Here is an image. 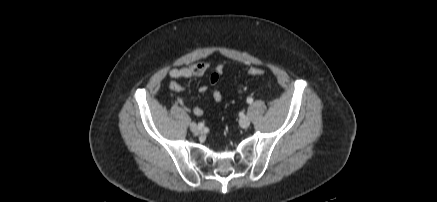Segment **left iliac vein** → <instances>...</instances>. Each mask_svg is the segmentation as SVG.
Wrapping results in <instances>:
<instances>
[{
	"label": "left iliac vein",
	"instance_id": "1",
	"mask_svg": "<svg viewBox=\"0 0 437 202\" xmlns=\"http://www.w3.org/2000/svg\"><path fill=\"white\" fill-rule=\"evenodd\" d=\"M239 125L242 127V128H248L249 127V125H250V119L247 117V116H243L242 118H240V120H239Z\"/></svg>",
	"mask_w": 437,
	"mask_h": 202
}]
</instances>
